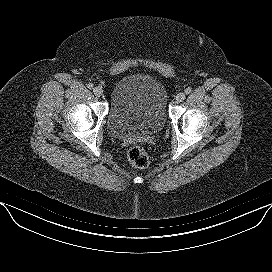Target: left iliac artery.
I'll use <instances>...</instances> for the list:
<instances>
[{"label": "left iliac artery", "instance_id": "44dca946", "mask_svg": "<svg viewBox=\"0 0 272 272\" xmlns=\"http://www.w3.org/2000/svg\"><path fill=\"white\" fill-rule=\"evenodd\" d=\"M185 93H186V94L191 93V88H190V87L186 88V89H185Z\"/></svg>", "mask_w": 272, "mask_h": 272}]
</instances>
